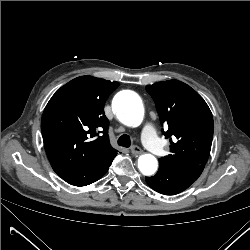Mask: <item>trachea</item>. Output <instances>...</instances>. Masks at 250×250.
Masks as SVG:
<instances>
[{
  "label": "trachea",
  "mask_w": 250,
  "mask_h": 250,
  "mask_svg": "<svg viewBox=\"0 0 250 250\" xmlns=\"http://www.w3.org/2000/svg\"><path fill=\"white\" fill-rule=\"evenodd\" d=\"M118 145L126 148L130 147L131 145L130 137L126 134L120 136V138L118 139Z\"/></svg>",
  "instance_id": "obj_1"
}]
</instances>
